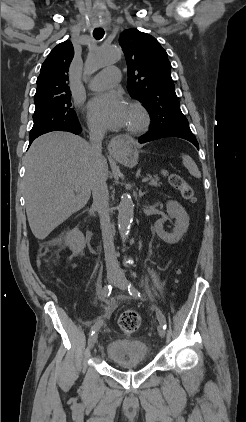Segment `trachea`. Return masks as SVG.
<instances>
[{"label": "trachea", "mask_w": 246, "mask_h": 422, "mask_svg": "<svg viewBox=\"0 0 246 422\" xmlns=\"http://www.w3.org/2000/svg\"><path fill=\"white\" fill-rule=\"evenodd\" d=\"M104 30L102 28H95L93 31V36L96 40H100L104 36Z\"/></svg>", "instance_id": "3493384b"}]
</instances>
